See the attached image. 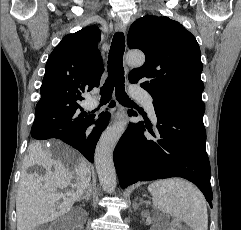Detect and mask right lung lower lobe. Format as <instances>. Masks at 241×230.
<instances>
[{
    "label": "right lung lower lobe",
    "mask_w": 241,
    "mask_h": 230,
    "mask_svg": "<svg viewBox=\"0 0 241 230\" xmlns=\"http://www.w3.org/2000/svg\"><path fill=\"white\" fill-rule=\"evenodd\" d=\"M114 105L115 102L112 101L110 103V107H113ZM109 118L110 114L108 112L102 113L96 122H94V117L88 116L86 121L78 129L66 133L59 130L51 131L45 126H42L41 123L38 121V113L36 111L34 124L31 128V135L39 138L40 140L50 138L60 139L63 142L71 145L75 149L79 150L86 157L87 160L93 162L96 144L101 135V132L107 126ZM92 123H96L97 127L94 128L90 135H86L85 131Z\"/></svg>",
    "instance_id": "obj_1"
}]
</instances>
